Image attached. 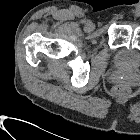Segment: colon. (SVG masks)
I'll return each mask as SVG.
<instances>
[{"mask_svg":"<svg viewBox=\"0 0 140 140\" xmlns=\"http://www.w3.org/2000/svg\"><path fill=\"white\" fill-rule=\"evenodd\" d=\"M112 92L116 97L124 98L130 94V87L125 84H118L113 88Z\"/></svg>","mask_w":140,"mask_h":140,"instance_id":"5ec220e1","label":"colon"}]
</instances>
